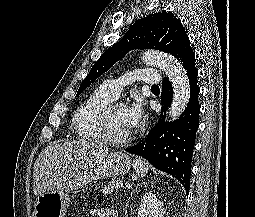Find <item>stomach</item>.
<instances>
[{
    "mask_svg": "<svg viewBox=\"0 0 255 217\" xmlns=\"http://www.w3.org/2000/svg\"><path fill=\"white\" fill-rule=\"evenodd\" d=\"M132 166L123 152L108 154L101 164L73 176L62 186L39 195L35 201L34 217H64L70 202V190L81 189L93 180L126 174Z\"/></svg>",
    "mask_w": 255,
    "mask_h": 217,
    "instance_id": "stomach-1",
    "label": "stomach"
}]
</instances>
